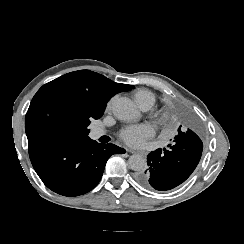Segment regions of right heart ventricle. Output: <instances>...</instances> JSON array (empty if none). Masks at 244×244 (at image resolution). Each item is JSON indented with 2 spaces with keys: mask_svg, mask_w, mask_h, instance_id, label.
Masks as SVG:
<instances>
[{
  "mask_svg": "<svg viewBox=\"0 0 244 244\" xmlns=\"http://www.w3.org/2000/svg\"><path fill=\"white\" fill-rule=\"evenodd\" d=\"M133 99L140 108L142 104H149L151 107L155 103V96L148 90L140 89L132 93Z\"/></svg>",
  "mask_w": 244,
  "mask_h": 244,
  "instance_id": "e07e8e85",
  "label": "right heart ventricle"
}]
</instances>
